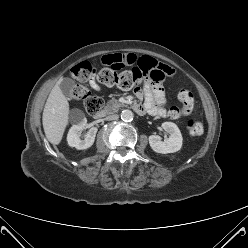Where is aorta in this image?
<instances>
[{
    "mask_svg": "<svg viewBox=\"0 0 248 248\" xmlns=\"http://www.w3.org/2000/svg\"><path fill=\"white\" fill-rule=\"evenodd\" d=\"M134 114L131 110H123L121 113V119L125 122H130L133 120Z\"/></svg>",
    "mask_w": 248,
    "mask_h": 248,
    "instance_id": "762f6f07",
    "label": "aorta"
}]
</instances>
